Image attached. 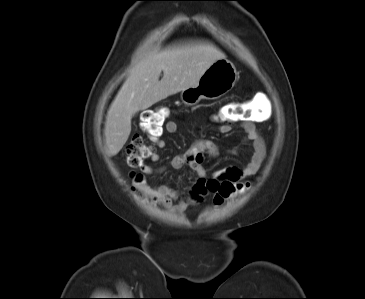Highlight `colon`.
<instances>
[{"label": "colon", "instance_id": "obj_1", "mask_svg": "<svg viewBox=\"0 0 365 299\" xmlns=\"http://www.w3.org/2000/svg\"><path fill=\"white\" fill-rule=\"evenodd\" d=\"M170 115V111L166 107L146 110L142 113L140 126L141 129L152 138H157L162 134L165 120ZM259 117L252 110L250 102L232 103L224 106L216 120L220 123H229L232 121L253 120ZM153 148L147 145L141 136H135L126 148V160L131 167H139L153 153ZM248 187V183L242 182H211L208 181L199 187L192 189V199L199 203L207 195L214 194V203L221 205L227 199L244 191Z\"/></svg>", "mask_w": 365, "mask_h": 299}]
</instances>
